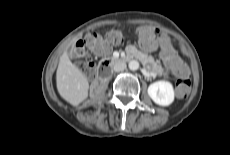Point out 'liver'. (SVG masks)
Returning <instances> with one entry per match:
<instances>
[{
    "instance_id": "6515ba94",
    "label": "liver",
    "mask_w": 230,
    "mask_h": 155,
    "mask_svg": "<svg viewBox=\"0 0 230 155\" xmlns=\"http://www.w3.org/2000/svg\"><path fill=\"white\" fill-rule=\"evenodd\" d=\"M57 90L60 96L73 106H78L88 97L89 82L81 70L62 53L56 72Z\"/></svg>"
}]
</instances>
